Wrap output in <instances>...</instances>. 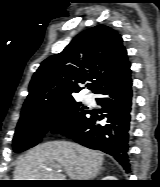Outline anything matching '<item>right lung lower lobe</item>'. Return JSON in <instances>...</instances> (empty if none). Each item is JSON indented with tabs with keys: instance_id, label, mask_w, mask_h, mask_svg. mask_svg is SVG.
I'll return each mask as SVG.
<instances>
[{
	"instance_id": "98d812e1",
	"label": "right lung lower lobe",
	"mask_w": 160,
	"mask_h": 187,
	"mask_svg": "<svg viewBox=\"0 0 160 187\" xmlns=\"http://www.w3.org/2000/svg\"><path fill=\"white\" fill-rule=\"evenodd\" d=\"M132 80L130 64L106 81L95 94L102 110H90L86 119L67 136L91 149L113 156L128 171V138L131 120Z\"/></svg>"
}]
</instances>
